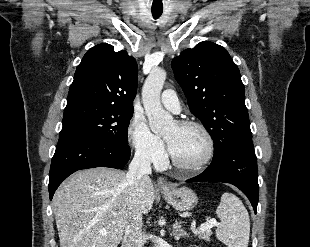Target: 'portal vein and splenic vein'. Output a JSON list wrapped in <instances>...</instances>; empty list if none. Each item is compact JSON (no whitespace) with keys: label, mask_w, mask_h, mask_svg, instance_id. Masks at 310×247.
Masks as SVG:
<instances>
[{"label":"portal vein and splenic vein","mask_w":310,"mask_h":247,"mask_svg":"<svg viewBox=\"0 0 310 247\" xmlns=\"http://www.w3.org/2000/svg\"><path fill=\"white\" fill-rule=\"evenodd\" d=\"M217 225H219V223L216 220L211 219V220H208L206 223L201 224V226L196 230V232L204 231V230L210 229L213 226H217ZM99 233L101 235H105L106 230H100Z\"/></svg>","instance_id":"1"}]
</instances>
